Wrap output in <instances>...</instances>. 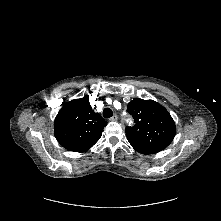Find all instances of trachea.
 <instances>
[{
    "label": "trachea",
    "instance_id": "trachea-1",
    "mask_svg": "<svg viewBox=\"0 0 221 221\" xmlns=\"http://www.w3.org/2000/svg\"><path fill=\"white\" fill-rule=\"evenodd\" d=\"M112 115H113V111L110 109V108H105L104 110H103V116H104V118H110V117H112Z\"/></svg>",
    "mask_w": 221,
    "mask_h": 221
}]
</instances>
